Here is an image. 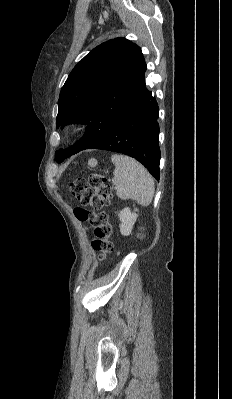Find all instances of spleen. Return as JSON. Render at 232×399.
I'll return each mask as SVG.
<instances>
[{
  "label": "spleen",
  "mask_w": 232,
  "mask_h": 399,
  "mask_svg": "<svg viewBox=\"0 0 232 399\" xmlns=\"http://www.w3.org/2000/svg\"><path fill=\"white\" fill-rule=\"evenodd\" d=\"M114 166V178L116 194L121 200H136L140 205H149L153 200L155 186L148 170L139 162L114 154L111 158Z\"/></svg>",
  "instance_id": "1"
}]
</instances>
